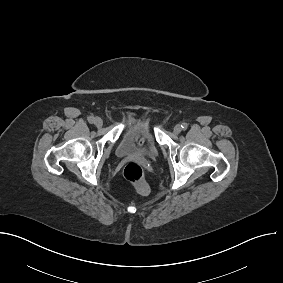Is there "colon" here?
<instances>
[{
  "instance_id": "5ec220e1",
  "label": "colon",
  "mask_w": 283,
  "mask_h": 283,
  "mask_svg": "<svg viewBox=\"0 0 283 283\" xmlns=\"http://www.w3.org/2000/svg\"><path fill=\"white\" fill-rule=\"evenodd\" d=\"M124 177L130 181L139 194L147 195L150 192L148 183L144 179L143 168L137 163H129L123 171Z\"/></svg>"
}]
</instances>
